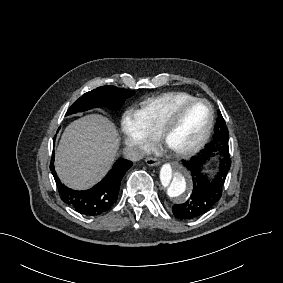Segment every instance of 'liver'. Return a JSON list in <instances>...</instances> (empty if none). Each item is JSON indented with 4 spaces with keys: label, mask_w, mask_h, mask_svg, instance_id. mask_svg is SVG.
I'll list each match as a JSON object with an SVG mask.
<instances>
[{
    "label": "liver",
    "mask_w": 283,
    "mask_h": 283,
    "mask_svg": "<svg viewBox=\"0 0 283 283\" xmlns=\"http://www.w3.org/2000/svg\"><path fill=\"white\" fill-rule=\"evenodd\" d=\"M113 123L101 116H88L70 124L56 150V171L69 187L87 189L105 175L118 150Z\"/></svg>",
    "instance_id": "obj_1"
}]
</instances>
